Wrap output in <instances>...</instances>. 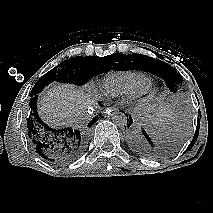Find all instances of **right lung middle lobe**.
I'll return each mask as SVG.
<instances>
[{"mask_svg": "<svg viewBox=\"0 0 213 213\" xmlns=\"http://www.w3.org/2000/svg\"><path fill=\"white\" fill-rule=\"evenodd\" d=\"M124 54L114 53L105 57L91 56L67 59L57 67L42 76L33 87L30 96L38 94L46 85L53 81L71 83L76 85L85 84L90 78L108 72L111 69L121 70L118 65H125L120 62V57ZM125 69V68H123Z\"/></svg>", "mask_w": 213, "mask_h": 213, "instance_id": "obj_1", "label": "right lung middle lobe"}]
</instances>
